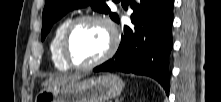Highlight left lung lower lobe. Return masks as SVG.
Returning <instances> with one entry per match:
<instances>
[{
    "instance_id": "1",
    "label": "left lung lower lobe",
    "mask_w": 221,
    "mask_h": 102,
    "mask_svg": "<svg viewBox=\"0 0 221 102\" xmlns=\"http://www.w3.org/2000/svg\"><path fill=\"white\" fill-rule=\"evenodd\" d=\"M133 26H124L115 56L94 72L121 71L157 80L169 94L174 0H130Z\"/></svg>"
}]
</instances>
